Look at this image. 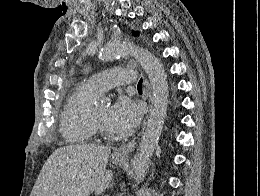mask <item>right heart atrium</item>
<instances>
[{
  "instance_id": "1",
  "label": "right heart atrium",
  "mask_w": 260,
  "mask_h": 196,
  "mask_svg": "<svg viewBox=\"0 0 260 196\" xmlns=\"http://www.w3.org/2000/svg\"><path fill=\"white\" fill-rule=\"evenodd\" d=\"M54 191L55 192H87V190H54Z\"/></svg>"
}]
</instances>
